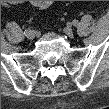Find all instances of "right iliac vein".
<instances>
[{
    "mask_svg": "<svg viewBox=\"0 0 109 109\" xmlns=\"http://www.w3.org/2000/svg\"><path fill=\"white\" fill-rule=\"evenodd\" d=\"M25 35L29 40H33L35 38V33L31 30L27 32Z\"/></svg>",
    "mask_w": 109,
    "mask_h": 109,
    "instance_id": "obj_1",
    "label": "right iliac vein"
}]
</instances>
